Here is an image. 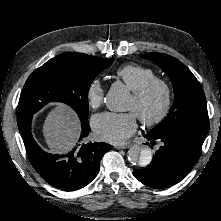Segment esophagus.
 I'll return each instance as SVG.
<instances>
[{
	"label": "esophagus",
	"mask_w": 221,
	"mask_h": 221,
	"mask_svg": "<svg viewBox=\"0 0 221 221\" xmlns=\"http://www.w3.org/2000/svg\"><path fill=\"white\" fill-rule=\"evenodd\" d=\"M130 147V144H126V145H116L115 148L116 149H127Z\"/></svg>",
	"instance_id": "obj_1"
}]
</instances>
